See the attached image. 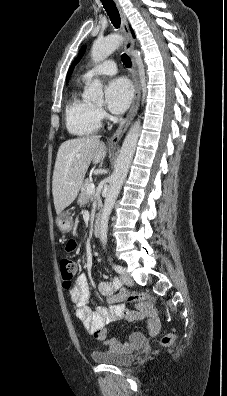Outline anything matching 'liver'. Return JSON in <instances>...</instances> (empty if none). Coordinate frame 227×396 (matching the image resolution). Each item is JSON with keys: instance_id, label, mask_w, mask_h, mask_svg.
I'll return each instance as SVG.
<instances>
[{"instance_id": "obj_1", "label": "liver", "mask_w": 227, "mask_h": 396, "mask_svg": "<svg viewBox=\"0 0 227 396\" xmlns=\"http://www.w3.org/2000/svg\"><path fill=\"white\" fill-rule=\"evenodd\" d=\"M106 153V145L99 136L75 138L60 145L52 180L57 214L76 199L90 163L98 164Z\"/></svg>"}]
</instances>
